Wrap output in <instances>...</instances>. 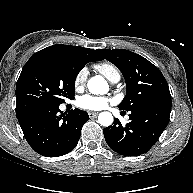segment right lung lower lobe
I'll return each instance as SVG.
<instances>
[{"mask_svg": "<svg viewBox=\"0 0 193 193\" xmlns=\"http://www.w3.org/2000/svg\"><path fill=\"white\" fill-rule=\"evenodd\" d=\"M87 120L86 111L75 109L63 113L58 104H49L18 117L29 145L46 157H58L72 151Z\"/></svg>", "mask_w": 193, "mask_h": 193, "instance_id": "obj_1", "label": "right lung lower lobe"}]
</instances>
